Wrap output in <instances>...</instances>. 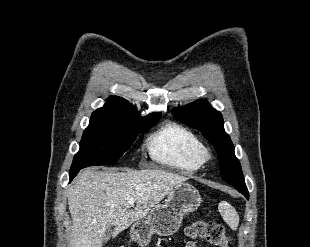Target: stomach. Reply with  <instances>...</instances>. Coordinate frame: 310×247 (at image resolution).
<instances>
[{"mask_svg":"<svg viewBox=\"0 0 310 247\" xmlns=\"http://www.w3.org/2000/svg\"><path fill=\"white\" fill-rule=\"evenodd\" d=\"M201 204L198 190L189 183L181 182L168 194L161 205H157L144 219L133 224L131 239L146 247L153 234L171 236L179 229L183 217L194 212Z\"/></svg>","mask_w":310,"mask_h":247,"instance_id":"1","label":"stomach"}]
</instances>
